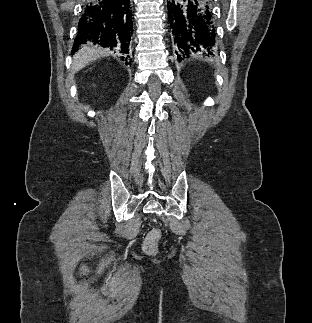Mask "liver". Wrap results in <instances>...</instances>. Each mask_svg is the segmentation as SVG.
<instances>
[{
	"mask_svg": "<svg viewBox=\"0 0 312 323\" xmlns=\"http://www.w3.org/2000/svg\"><path fill=\"white\" fill-rule=\"evenodd\" d=\"M108 50H96V48H88V46H83L81 50L76 52L72 60V72H79L82 68H85L89 62L97 60L100 56H105Z\"/></svg>",
	"mask_w": 312,
	"mask_h": 323,
	"instance_id": "obj_1",
	"label": "liver"
}]
</instances>
